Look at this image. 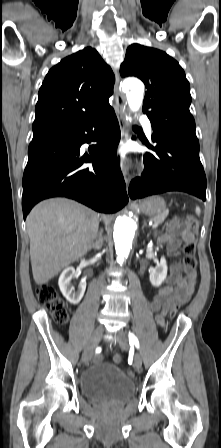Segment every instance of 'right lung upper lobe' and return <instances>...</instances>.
<instances>
[{
  "label": "right lung upper lobe",
  "mask_w": 221,
  "mask_h": 448,
  "mask_svg": "<svg viewBox=\"0 0 221 448\" xmlns=\"http://www.w3.org/2000/svg\"><path fill=\"white\" fill-rule=\"evenodd\" d=\"M114 81L111 68L91 47L61 60L50 69L39 90L32 141L82 122L109 106Z\"/></svg>",
  "instance_id": "1"
}]
</instances>
